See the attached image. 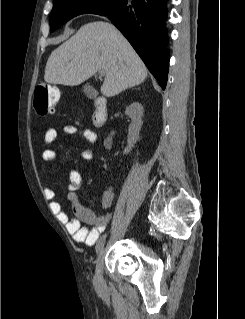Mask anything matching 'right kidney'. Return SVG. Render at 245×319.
I'll use <instances>...</instances> for the list:
<instances>
[{
    "label": "right kidney",
    "instance_id": "right-kidney-1",
    "mask_svg": "<svg viewBox=\"0 0 245 319\" xmlns=\"http://www.w3.org/2000/svg\"><path fill=\"white\" fill-rule=\"evenodd\" d=\"M143 112H144L143 106L139 102H133L125 110V114L129 118H131V124L128 129L129 131L128 145L126 149L124 150V154L130 153L135 143L139 139V132L143 124V121H142Z\"/></svg>",
    "mask_w": 245,
    "mask_h": 319
}]
</instances>
